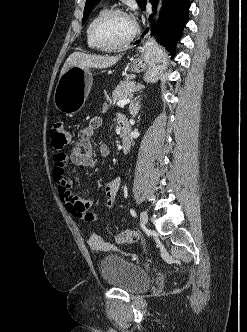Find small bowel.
I'll return each mask as SVG.
<instances>
[{
	"mask_svg": "<svg viewBox=\"0 0 247 332\" xmlns=\"http://www.w3.org/2000/svg\"><path fill=\"white\" fill-rule=\"evenodd\" d=\"M101 125L102 119L100 117L91 118L88 121L87 126L83 127L78 132L75 145L70 153L66 154L59 152L56 153L53 158L52 176L61 200L65 204L66 209L74 217L87 222L96 220L99 214L93 211L92 200L90 197L78 196L72 193L71 182L66 177L65 170L69 163L86 168H93L95 166L91 137L95 130L101 127ZM99 150L103 157L109 155V148L105 144L100 145ZM120 187V178H115L106 185L105 194L107 198V210L113 205Z\"/></svg>",
	"mask_w": 247,
	"mask_h": 332,
	"instance_id": "c3829d8e",
	"label": "small bowel"
}]
</instances>
